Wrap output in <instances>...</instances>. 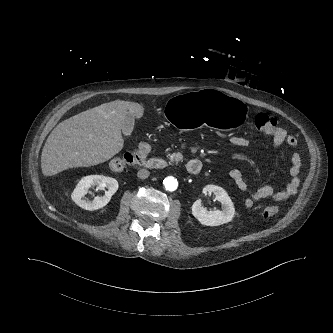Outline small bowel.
Returning <instances> with one entry per match:
<instances>
[{"instance_id": "small-bowel-1", "label": "small bowel", "mask_w": 333, "mask_h": 333, "mask_svg": "<svg viewBox=\"0 0 333 333\" xmlns=\"http://www.w3.org/2000/svg\"><path fill=\"white\" fill-rule=\"evenodd\" d=\"M272 136V147L278 148L283 144H287L290 147H296L298 141L296 137L290 134L285 128L276 126L274 132L269 133ZM230 143L237 148H248L251 146V141L241 135H234L230 137ZM133 149L141 155H147L151 151V146L143 140H137L133 144ZM302 167L301 158L298 153H294L291 156L290 165V180L288 184L281 190H275L270 185H263L257 188L252 194L247 196L244 200V204L247 208H252L257 202L270 199L275 202H283L293 196L299 186V173ZM229 178L235 183L236 187L245 192L248 189V185L244 178V175L239 169H232L229 171Z\"/></svg>"}]
</instances>
